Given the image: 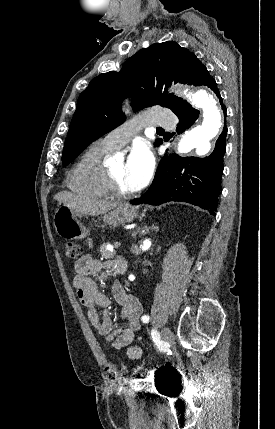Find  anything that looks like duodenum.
Returning a JSON list of instances; mask_svg holds the SVG:
<instances>
[{"label":"duodenum","mask_w":275,"mask_h":429,"mask_svg":"<svg viewBox=\"0 0 275 429\" xmlns=\"http://www.w3.org/2000/svg\"><path fill=\"white\" fill-rule=\"evenodd\" d=\"M127 264L124 260H119L115 265V271L117 274L123 275L126 271Z\"/></svg>","instance_id":"410a0bca"}]
</instances>
